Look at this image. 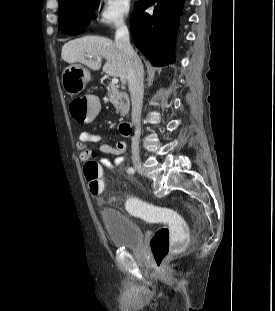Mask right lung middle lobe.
Listing matches in <instances>:
<instances>
[{"instance_id":"right-lung-middle-lobe-1","label":"right lung middle lobe","mask_w":275,"mask_h":311,"mask_svg":"<svg viewBox=\"0 0 275 311\" xmlns=\"http://www.w3.org/2000/svg\"><path fill=\"white\" fill-rule=\"evenodd\" d=\"M100 0H68L59 4V30L75 35L78 28L90 22ZM139 2L135 3V7Z\"/></svg>"}]
</instances>
